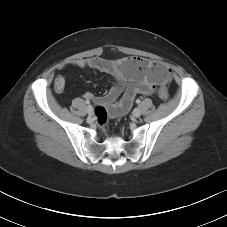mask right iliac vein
Instances as JSON below:
<instances>
[{
	"label": "right iliac vein",
	"instance_id": "1",
	"mask_svg": "<svg viewBox=\"0 0 227 227\" xmlns=\"http://www.w3.org/2000/svg\"><path fill=\"white\" fill-rule=\"evenodd\" d=\"M87 113L91 116L93 115V108L91 106L87 107Z\"/></svg>",
	"mask_w": 227,
	"mask_h": 227
}]
</instances>
